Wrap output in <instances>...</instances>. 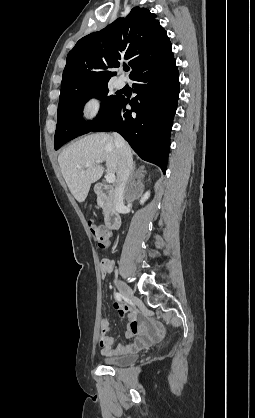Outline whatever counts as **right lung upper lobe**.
<instances>
[{
  "mask_svg": "<svg viewBox=\"0 0 255 418\" xmlns=\"http://www.w3.org/2000/svg\"><path fill=\"white\" fill-rule=\"evenodd\" d=\"M173 56L172 45L156 15L134 7L104 29L81 38L67 56L61 93L106 83L115 75L109 68L129 60L132 78Z\"/></svg>",
  "mask_w": 255,
  "mask_h": 418,
  "instance_id": "1",
  "label": "right lung upper lobe"
}]
</instances>
